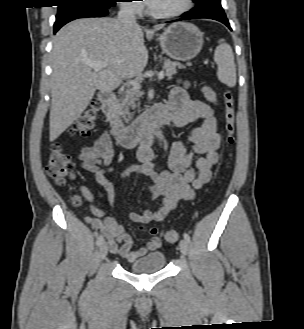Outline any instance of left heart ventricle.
<instances>
[{"mask_svg":"<svg viewBox=\"0 0 304 329\" xmlns=\"http://www.w3.org/2000/svg\"><path fill=\"white\" fill-rule=\"evenodd\" d=\"M184 0H151L148 4L156 12H168L180 8Z\"/></svg>","mask_w":304,"mask_h":329,"instance_id":"left-heart-ventricle-1","label":"left heart ventricle"}]
</instances>
